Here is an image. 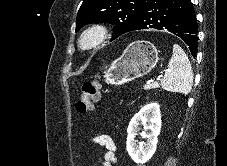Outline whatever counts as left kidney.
Returning a JSON list of instances; mask_svg holds the SVG:
<instances>
[{
	"label": "left kidney",
	"instance_id": "left-kidney-1",
	"mask_svg": "<svg viewBox=\"0 0 227 166\" xmlns=\"http://www.w3.org/2000/svg\"><path fill=\"white\" fill-rule=\"evenodd\" d=\"M148 123V124H147ZM140 125L144 126L141 136L147 141L139 145L135 137L140 131ZM161 130V114L157 103L145 105L131 119L127 129L126 149L132 160L137 164H144L151 159L156 151L158 135Z\"/></svg>",
	"mask_w": 227,
	"mask_h": 166
}]
</instances>
